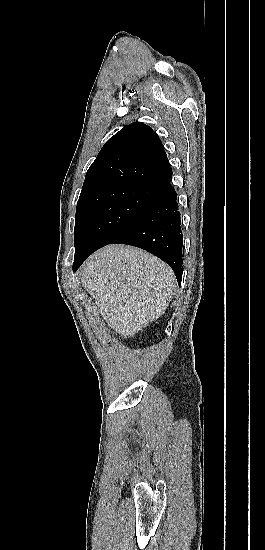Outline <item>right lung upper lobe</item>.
I'll use <instances>...</instances> for the list:
<instances>
[{
  "mask_svg": "<svg viewBox=\"0 0 265 550\" xmlns=\"http://www.w3.org/2000/svg\"><path fill=\"white\" fill-rule=\"evenodd\" d=\"M172 170L157 134L135 122L111 137L85 176L78 202L122 187L158 185Z\"/></svg>",
  "mask_w": 265,
  "mask_h": 550,
  "instance_id": "cb5924a9",
  "label": "right lung upper lobe"
}]
</instances>
